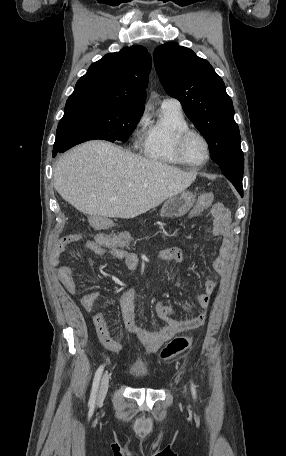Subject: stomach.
Masks as SVG:
<instances>
[{"label": "stomach", "mask_w": 286, "mask_h": 456, "mask_svg": "<svg viewBox=\"0 0 286 456\" xmlns=\"http://www.w3.org/2000/svg\"><path fill=\"white\" fill-rule=\"evenodd\" d=\"M195 195L189 191H182L168 198L163 204L160 214L163 217H181L194 205Z\"/></svg>", "instance_id": "stomach-1"}]
</instances>
